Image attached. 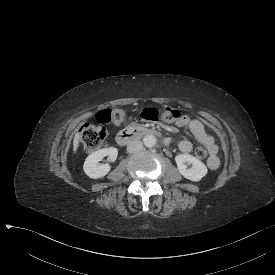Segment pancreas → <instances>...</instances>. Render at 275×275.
<instances>
[{
  "instance_id": "cf45deb5",
  "label": "pancreas",
  "mask_w": 275,
  "mask_h": 275,
  "mask_svg": "<svg viewBox=\"0 0 275 275\" xmlns=\"http://www.w3.org/2000/svg\"><path fill=\"white\" fill-rule=\"evenodd\" d=\"M125 128L128 130H142L144 127L140 123L131 122L130 124L126 125Z\"/></svg>"
}]
</instances>
